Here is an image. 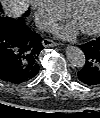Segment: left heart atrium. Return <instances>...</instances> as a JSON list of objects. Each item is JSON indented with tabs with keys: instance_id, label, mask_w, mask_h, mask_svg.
<instances>
[{
	"instance_id": "39dd6f15",
	"label": "left heart atrium",
	"mask_w": 100,
	"mask_h": 118,
	"mask_svg": "<svg viewBox=\"0 0 100 118\" xmlns=\"http://www.w3.org/2000/svg\"><path fill=\"white\" fill-rule=\"evenodd\" d=\"M53 31L56 35L64 39H71L78 33V29L73 23H67L62 26H55Z\"/></svg>"
}]
</instances>
